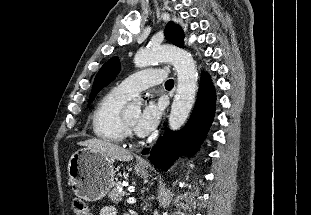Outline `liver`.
<instances>
[{
    "instance_id": "obj_1",
    "label": "liver",
    "mask_w": 311,
    "mask_h": 215,
    "mask_svg": "<svg viewBox=\"0 0 311 215\" xmlns=\"http://www.w3.org/2000/svg\"><path fill=\"white\" fill-rule=\"evenodd\" d=\"M79 146H84L89 150L98 152L110 160L130 161L133 155L129 150H126L116 144L107 142L105 140L93 138L78 142Z\"/></svg>"
}]
</instances>
